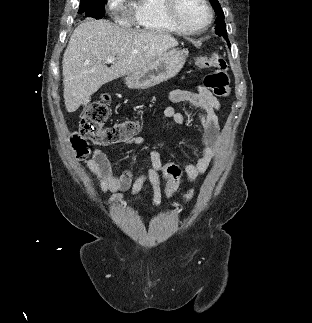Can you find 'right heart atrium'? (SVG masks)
<instances>
[{
	"label": "right heart atrium",
	"instance_id": "d8ad5b80",
	"mask_svg": "<svg viewBox=\"0 0 312 323\" xmlns=\"http://www.w3.org/2000/svg\"><path fill=\"white\" fill-rule=\"evenodd\" d=\"M104 5H113L114 9H123V2H119V0H104ZM124 17H133V10H124Z\"/></svg>",
	"mask_w": 312,
	"mask_h": 323
}]
</instances>
